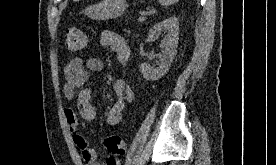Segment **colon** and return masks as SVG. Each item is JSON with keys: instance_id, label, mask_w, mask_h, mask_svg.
<instances>
[{"instance_id": "5ec220e1", "label": "colon", "mask_w": 276, "mask_h": 165, "mask_svg": "<svg viewBox=\"0 0 276 165\" xmlns=\"http://www.w3.org/2000/svg\"><path fill=\"white\" fill-rule=\"evenodd\" d=\"M65 47L70 52H79L87 46V38L82 30L76 27L66 29L64 35ZM104 146L110 156L123 155L126 151L125 139L120 135H111L104 140Z\"/></svg>"}]
</instances>
